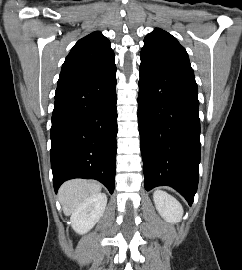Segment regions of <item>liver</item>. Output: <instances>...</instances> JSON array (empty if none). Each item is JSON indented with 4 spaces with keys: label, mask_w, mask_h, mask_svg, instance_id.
<instances>
[{
    "label": "liver",
    "mask_w": 242,
    "mask_h": 270,
    "mask_svg": "<svg viewBox=\"0 0 242 270\" xmlns=\"http://www.w3.org/2000/svg\"><path fill=\"white\" fill-rule=\"evenodd\" d=\"M100 191L101 184L95 181L76 179L65 182L59 189L64 214L71 215L84 200Z\"/></svg>",
    "instance_id": "6515ba94"
}]
</instances>
